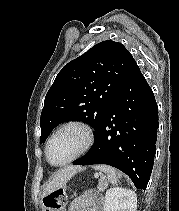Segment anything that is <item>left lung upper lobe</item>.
Here are the masks:
<instances>
[{"mask_svg": "<svg viewBox=\"0 0 179 211\" xmlns=\"http://www.w3.org/2000/svg\"><path fill=\"white\" fill-rule=\"evenodd\" d=\"M133 60L121 43L106 40L66 64L45 97L40 142L67 120L89 123L96 135Z\"/></svg>", "mask_w": 179, "mask_h": 211, "instance_id": "5c2ea615", "label": "left lung upper lobe"}]
</instances>
